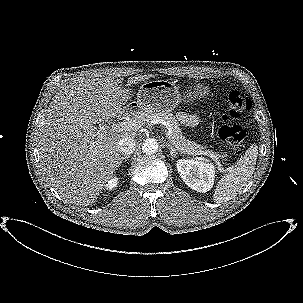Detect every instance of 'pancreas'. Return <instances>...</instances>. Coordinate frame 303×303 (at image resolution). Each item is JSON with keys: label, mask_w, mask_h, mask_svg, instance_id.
Here are the masks:
<instances>
[{"label": "pancreas", "mask_w": 303, "mask_h": 303, "mask_svg": "<svg viewBox=\"0 0 303 303\" xmlns=\"http://www.w3.org/2000/svg\"><path fill=\"white\" fill-rule=\"evenodd\" d=\"M159 120L165 121L168 124V129L171 132V139L174 145H177L183 149L185 154L189 155H198V153H207L208 156H213L217 159L219 154L213 152L212 150H206V147L197 144L196 142L190 141L183 136L182 130L179 127V123L176 120L175 116L167 112H154V113H141L132 118V122H143V121H152Z\"/></svg>", "instance_id": "obj_1"}]
</instances>
